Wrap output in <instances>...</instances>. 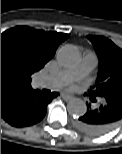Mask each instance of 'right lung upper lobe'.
<instances>
[{"label": "right lung upper lobe", "instance_id": "right-lung-upper-lobe-1", "mask_svg": "<svg viewBox=\"0 0 122 154\" xmlns=\"http://www.w3.org/2000/svg\"><path fill=\"white\" fill-rule=\"evenodd\" d=\"M69 34L16 26L1 34V107L29 90L32 75L55 54Z\"/></svg>", "mask_w": 122, "mask_h": 154}]
</instances>
